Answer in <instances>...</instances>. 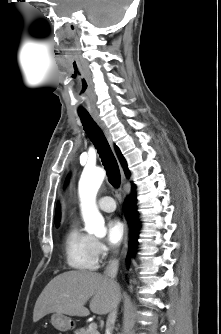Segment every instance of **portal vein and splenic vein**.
<instances>
[{
  "mask_svg": "<svg viewBox=\"0 0 221 334\" xmlns=\"http://www.w3.org/2000/svg\"><path fill=\"white\" fill-rule=\"evenodd\" d=\"M89 331H91V332L97 331V324L96 323H91L89 325Z\"/></svg>",
  "mask_w": 221,
  "mask_h": 334,
  "instance_id": "obj_1",
  "label": "portal vein and splenic vein"
}]
</instances>
